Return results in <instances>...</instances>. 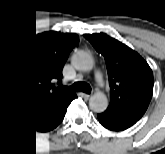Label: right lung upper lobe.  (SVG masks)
<instances>
[{
  "label": "right lung upper lobe",
  "instance_id": "1",
  "mask_svg": "<svg viewBox=\"0 0 165 154\" xmlns=\"http://www.w3.org/2000/svg\"><path fill=\"white\" fill-rule=\"evenodd\" d=\"M78 42L75 34L50 31L32 36L11 55L3 87L17 116L66 93L56 81Z\"/></svg>",
  "mask_w": 165,
  "mask_h": 154
}]
</instances>
